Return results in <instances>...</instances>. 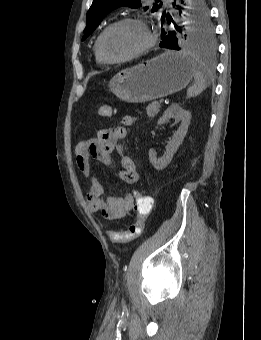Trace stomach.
Segmentation results:
<instances>
[{
	"mask_svg": "<svg viewBox=\"0 0 261 340\" xmlns=\"http://www.w3.org/2000/svg\"><path fill=\"white\" fill-rule=\"evenodd\" d=\"M194 76V62L186 55L167 51L124 69L109 81V88L128 103H145L184 89Z\"/></svg>",
	"mask_w": 261,
	"mask_h": 340,
	"instance_id": "0dacf381",
	"label": "stomach"
}]
</instances>
